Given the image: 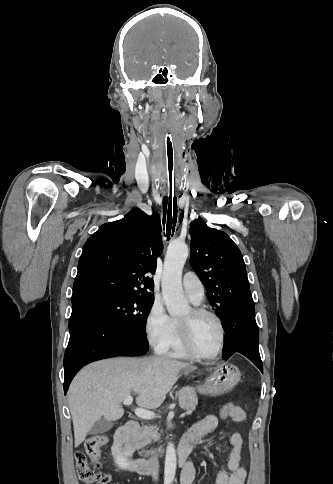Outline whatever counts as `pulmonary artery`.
Segmentation results:
<instances>
[{
	"instance_id": "1",
	"label": "pulmonary artery",
	"mask_w": 333,
	"mask_h": 484,
	"mask_svg": "<svg viewBox=\"0 0 333 484\" xmlns=\"http://www.w3.org/2000/svg\"><path fill=\"white\" fill-rule=\"evenodd\" d=\"M182 283L190 300L196 304L201 303L204 297V286L198 276L193 272H187L183 276Z\"/></svg>"
}]
</instances>
